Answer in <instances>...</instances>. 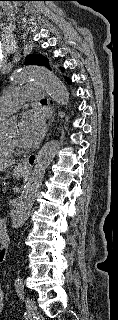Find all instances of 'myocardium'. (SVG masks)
<instances>
[{"label":"myocardium","mask_w":118,"mask_h":320,"mask_svg":"<svg viewBox=\"0 0 118 320\" xmlns=\"http://www.w3.org/2000/svg\"><path fill=\"white\" fill-rule=\"evenodd\" d=\"M4 135V134H3ZM4 138L6 139V141L12 146V147H20V144L18 143V141L16 139H12L10 137H7L6 135H4Z\"/></svg>","instance_id":"obj_1"}]
</instances>
